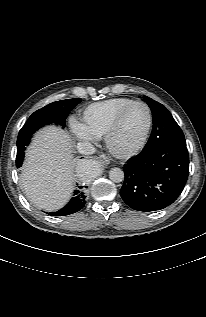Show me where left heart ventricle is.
Wrapping results in <instances>:
<instances>
[{"label":"left heart ventricle","mask_w":206,"mask_h":317,"mask_svg":"<svg viewBox=\"0 0 206 317\" xmlns=\"http://www.w3.org/2000/svg\"><path fill=\"white\" fill-rule=\"evenodd\" d=\"M147 126V112L142 105L131 107L124 115L119 128L113 136L117 149L126 150L136 146Z\"/></svg>","instance_id":"b2bd125f"}]
</instances>
